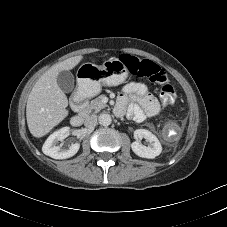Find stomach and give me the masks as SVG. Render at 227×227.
I'll use <instances>...</instances> for the list:
<instances>
[{"label":"stomach","instance_id":"1","mask_svg":"<svg viewBox=\"0 0 227 227\" xmlns=\"http://www.w3.org/2000/svg\"><path fill=\"white\" fill-rule=\"evenodd\" d=\"M128 77L125 64L117 58L103 62L102 65L84 63L78 69V89L86 97L97 95L101 86H117Z\"/></svg>","mask_w":227,"mask_h":227}]
</instances>
